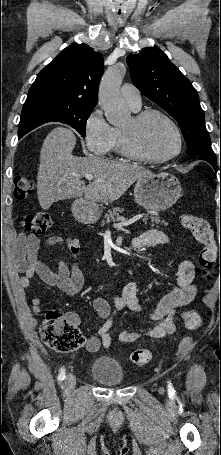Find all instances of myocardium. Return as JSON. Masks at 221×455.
<instances>
[{
	"mask_svg": "<svg viewBox=\"0 0 221 455\" xmlns=\"http://www.w3.org/2000/svg\"><path fill=\"white\" fill-rule=\"evenodd\" d=\"M153 116H157V117L164 119L172 128V130L175 134L176 140H177L176 150L172 154H170L166 157L154 158V157L148 156V155L142 153L141 151H139L133 143L134 130L137 127H139L141 124H143L146 120H148L149 118H151ZM132 123H133L132 129H130V130H126L123 128L120 129V147H121L122 153L125 156H127L133 160L140 161V162L151 163V164H162V163H166V162H169V161L175 159L182 152L183 138H182L181 131H180L178 125L176 124V122L165 112L158 110V109H146V110L136 113L132 117Z\"/></svg>",
	"mask_w": 221,
	"mask_h": 455,
	"instance_id": "1",
	"label": "myocardium"
}]
</instances>
